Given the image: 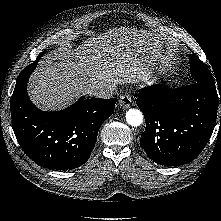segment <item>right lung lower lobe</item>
<instances>
[{"instance_id": "obj_1", "label": "right lung lower lobe", "mask_w": 221, "mask_h": 221, "mask_svg": "<svg viewBox=\"0 0 221 221\" xmlns=\"http://www.w3.org/2000/svg\"><path fill=\"white\" fill-rule=\"evenodd\" d=\"M38 60L20 73L11 97L15 136L36 164L49 169H75L89 159L98 130L113 114L117 98L82 97L67 109L41 111L27 95V82Z\"/></svg>"}]
</instances>
